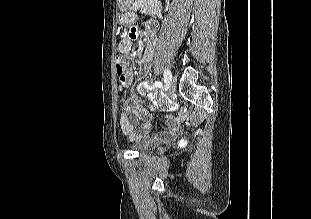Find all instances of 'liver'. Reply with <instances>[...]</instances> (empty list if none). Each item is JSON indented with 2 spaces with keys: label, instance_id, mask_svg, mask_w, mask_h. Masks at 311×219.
I'll return each instance as SVG.
<instances>
[{
  "label": "liver",
  "instance_id": "obj_1",
  "mask_svg": "<svg viewBox=\"0 0 311 219\" xmlns=\"http://www.w3.org/2000/svg\"><path fill=\"white\" fill-rule=\"evenodd\" d=\"M130 1L131 0H117L119 9L122 10H127L130 6Z\"/></svg>",
  "mask_w": 311,
  "mask_h": 219
}]
</instances>
